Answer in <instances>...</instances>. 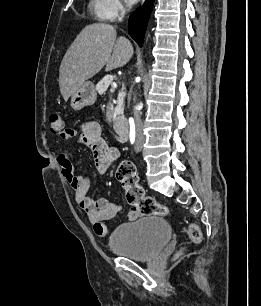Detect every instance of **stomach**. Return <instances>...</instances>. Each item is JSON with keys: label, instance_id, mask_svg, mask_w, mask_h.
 <instances>
[{"label": "stomach", "instance_id": "stomach-1", "mask_svg": "<svg viewBox=\"0 0 261 306\" xmlns=\"http://www.w3.org/2000/svg\"><path fill=\"white\" fill-rule=\"evenodd\" d=\"M97 99L95 86L92 82L86 81L71 94L70 105L74 110H80L86 106L93 105Z\"/></svg>", "mask_w": 261, "mask_h": 306}]
</instances>
